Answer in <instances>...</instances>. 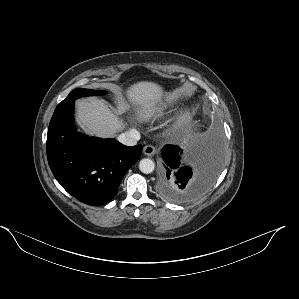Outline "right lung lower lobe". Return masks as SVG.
<instances>
[{
	"instance_id": "98d812e1",
	"label": "right lung lower lobe",
	"mask_w": 299,
	"mask_h": 299,
	"mask_svg": "<svg viewBox=\"0 0 299 299\" xmlns=\"http://www.w3.org/2000/svg\"><path fill=\"white\" fill-rule=\"evenodd\" d=\"M74 102L55 110L47 135L49 166L61 186L79 201L103 205L116 194L128 169L140 158L142 146L127 147L114 139L78 134Z\"/></svg>"
}]
</instances>
